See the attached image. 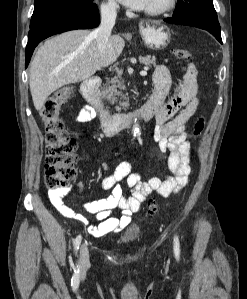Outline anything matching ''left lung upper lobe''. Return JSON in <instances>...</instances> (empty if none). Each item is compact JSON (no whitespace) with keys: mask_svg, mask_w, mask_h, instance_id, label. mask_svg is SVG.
Wrapping results in <instances>:
<instances>
[{"mask_svg":"<svg viewBox=\"0 0 247 299\" xmlns=\"http://www.w3.org/2000/svg\"><path fill=\"white\" fill-rule=\"evenodd\" d=\"M199 11L217 17L212 0H178L173 16Z\"/></svg>","mask_w":247,"mask_h":299,"instance_id":"5c2ea615","label":"left lung upper lobe"}]
</instances>
